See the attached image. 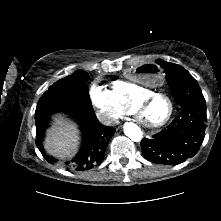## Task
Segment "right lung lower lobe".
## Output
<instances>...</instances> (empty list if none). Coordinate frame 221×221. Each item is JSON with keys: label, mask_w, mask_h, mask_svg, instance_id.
I'll list each match as a JSON object with an SVG mask.
<instances>
[{"label": "right lung lower lobe", "mask_w": 221, "mask_h": 221, "mask_svg": "<svg viewBox=\"0 0 221 221\" xmlns=\"http://www.w3.org/2000/svg\"><path fill=\"white\" fill-rule=\"evenodd\" d=\"M76 119L83 131V141L78 155L70 162L64 164L67 170L83 171L93 168L103 161L105 150L110 138L115 133V129L98 124L95 113L74 114L69 113ZM49 126V118L36 123V145L43 157L51 164L57 162L56 159L46 155L42 141L44 131Z\"/></svg>", "instance_id": "right-lung-lower-lobe-1"}]
</instances>
